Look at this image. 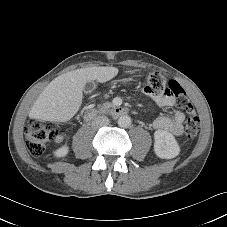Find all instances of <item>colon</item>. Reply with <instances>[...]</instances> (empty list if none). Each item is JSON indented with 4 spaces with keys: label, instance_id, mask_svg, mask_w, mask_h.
Listing matches in <instances>:
<instances>
[{
    "label": "colon",
    "instance_id": "1",
    "mask_svg": "<svg viewBox=\"0 0 227 227\" xmlns=\"http://www.w3.org/2000/svg\"><path fill=\"white\" fill-rule=\"evenodd\" d=\"M144 82L145 85H150L157 90V96H161L163 89L172 91L177 105L188 113L185 125L186 136L190 139L196 137L200 128V120L183 88L175 81H167L163 74L157 71L145 74ZM24 131L30 154L38 157L43 154L46 145L59 135L60 127L56 123L29 119L25 124Z\"/></svg>",
    "mask_w": 227,
    "mask_h": 227
}]
</instances>
